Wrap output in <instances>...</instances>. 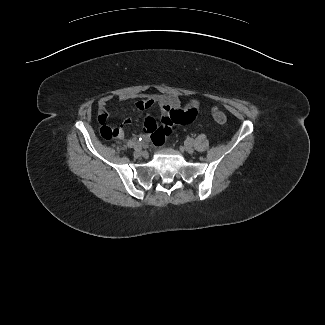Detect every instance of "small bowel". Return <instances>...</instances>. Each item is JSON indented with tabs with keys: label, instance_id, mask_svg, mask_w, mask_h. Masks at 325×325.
Listing matches in <instances>:
<instances>
[{
	"label": "small bowel",
	"instance_id": "1",
	"mask_svg": "<svg viewBox=\"0 0 325 325\" xmlns=\"http://www.w3.org/2000/svg\"><path fill=\"white\" fill-rule=\"evenodd\" d=\"M113 99L112 95L103 96L98 103V123L101 129L108 127L106 125L109 119L108 104ZM131 99H136L134 106L138 111L148 112L144 120L143 128L147 135L151 136L153 142L157 145L164 143L166 137L172 132L173 128L192 123L198 113V101H191L184 110H177L180 108V99L177 95H118V100L126 102ZM159 109L160 120L158 121L152 114L155 108ZM132 123V119L127 117L123 120V125L119 128L117 137L124 136L123 126H128Z\"/></svg>",
	"mask_w": 325,
	"mask_h": 325
}]
</instances>
